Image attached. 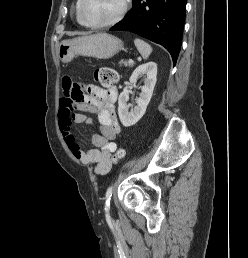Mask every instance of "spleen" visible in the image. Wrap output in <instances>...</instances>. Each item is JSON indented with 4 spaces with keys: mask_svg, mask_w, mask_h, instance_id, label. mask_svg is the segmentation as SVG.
Segmentation results:
<instances>
[{
    "mask_svg": "<svg viewBox=\"0 0 248 258\" xmlns=\"http://www.w3.org/2000/svg\"><path fill=\"white\" fill-rule=\"evenodd\" d=\"M135 46L137 47L139 53L144 59H147L151 52H152V47L145 41L141 39H135L134 41Z\"/></svg>",
    "mask_w": 248,
    "mask_h": 258,
    "instance_id": "spleen-1",
    "label": "spleen"
}]
</instances>
